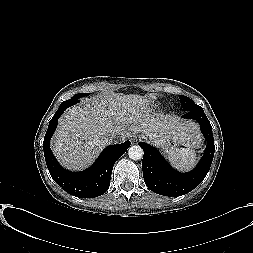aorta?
<instances>
[{
    "label": "aorta",
    "instance_id": "obj_1",
    "mask_svg": "<svg viewBox=\"0 0 253 253\" xmlns=\"http://www.w3.org/2000/svg\"><path fill=\"white\" fill-rule=\"evenodd\" d=\"M143 154H144V151L139 145H133L128 149L129 158L132 160L142 159Z\"/></svg>",
    "mask_w": 253,
    "mask_h": 253
}]
</instances>
